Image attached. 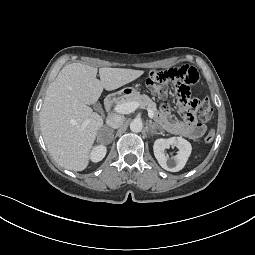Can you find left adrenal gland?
<instances>
[{
  "label": "left adrenal gland",
  "instance_id": "obj_1",
  "mask_svg": "<svg viewBox=\"0 0 255 255\" xmlns=\"http://www.w3.org/2000/svg\"><path fill=\"white\" fill-rule=\"evenodd\" d=\"M156 127H157V125L155 124V123H152L151 121H150V128H151V135H154V134H157V132H156Z\"/></svg>",
  "mask_w": 255,
  "mask_h": 255
}]
</instances>
